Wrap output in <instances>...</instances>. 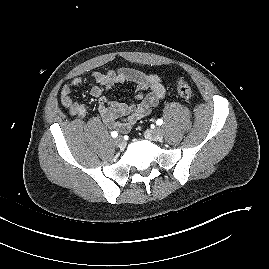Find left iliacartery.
<instances>
[{"label": "left iliac artery", "mask_w": 269, "mask_h": 269, "mask_svg": "<svg viewBox=\"0 0 269 269\" xmlns=\"http://www.w3.org/2000/svg\"><path fill=\"white\" fill-rule=\"evenodd\" d=\"M156 124H157V125H162V124H163V120H162V119H158V120L156 121Z\"/></svg>", "instance_id": "1"}]
</instances>
